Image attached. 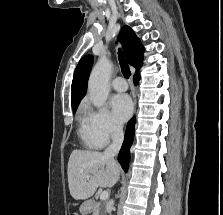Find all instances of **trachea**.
Segmentation results:
<instances>
[{
	"instance_id": "obj_1",
	"label": "trachea",
	"mask_w": 223,
	"mask_h": 215,
	"mask_svg": "<svg viewBox=\"0 0 223 215\" xmlns=\"http://www.w3.org/2000/svg\"><path fill=\"white\" fill-rule=\"evenodd\" d=\"M118 56H119V62H120L122 73H123L124 77L129 78L131 75L130 68L124 58L122 51L118 52Z\"/></svg>"
}]
</instances>
